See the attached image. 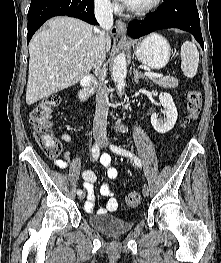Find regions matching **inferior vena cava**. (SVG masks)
<instances>
[{
	"mask_svg": "<svg viewBox=\"0 0 221 263\" xmlns=\"http://www.w3.org/2000/svg\"><path fill=\"white\" fill-rule=\"evenodd\" d=\"M112 5L110 0H95V17L101 26L99 31V42L97 45L96 58L94 63V73L99 78V87L96 94V110L93 121V134L97 138H106V126L108 116V88L105 84L106 76V47L105 29L113 25Z\"/></svg>",
	"mask_w": 221,
	"mask_h": 263,
	"instance_id": "inferior-vena-cava-1",
	"label": "inferior vena cava"
}]
</instances>
